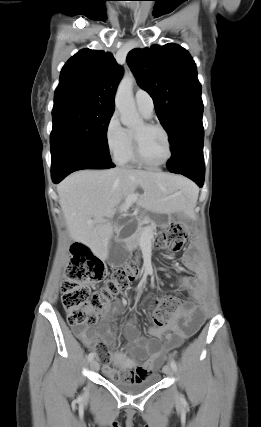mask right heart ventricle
I'll return each instance as SVG.
<instances>
[{
  "instance_id": "1",
  "label": "right heart ventricle",
  "mask_w": 261,
  "mask_h": 427,
  "mask_svg": "<svg viewBox=\"0 0 261 427\" xmlns=\"http://www.w3.org/2000/svg\"><path fill=\"white\" fill-rule=\"evenodd\" d=\"M127 134H128V146L123 156L118 160V162L123 166H135L138 164V162L136 161L133 153L132 132L127 130Z\"/></svg>"
}]
</instances>
